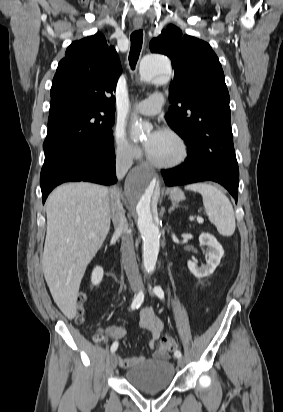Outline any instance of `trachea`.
<instances>
[{"label":"trachea","mask_w":283,"mask_h":412,"mask_svg":"<svg viewBox=\"0 0 283 412\" xmlns=\"http://www.w3.org/2000/svg\"><path fill=\"white\" fill-rule=\"evenodd\" d=\"M143 43V32L142 30L134 31L131 34V48L129 53V64L134 70L136 63L138 61L140 51Z\"/></svg>","instance_id":"trachea-1"}]
</instances>
